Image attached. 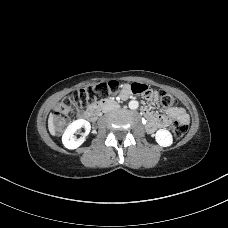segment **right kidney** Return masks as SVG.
I'll return each mask as SVG.
<instances>
[{
  "instance_id": "1",
  "label": "right kidney",
  "mask_w": 228,
  "mask_h": 228,
  "mask_svg": "<svg viewBox=\"0 0 228 228\" xmlns=\"http://www.w3.org/2000/svg\"><path fill=\"white\" fill-rule=\"evenodd\" d=\"M81 127H84L86 129L85 136L88 135L90 132L91 125L85 119L75 120L65 129L64 134L62 136V143L67 149H76L84 142L85 137L77 139L73 135Z\"/></svg>"
}]
</instances>
